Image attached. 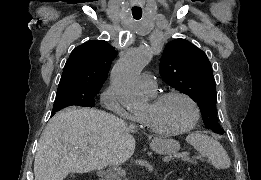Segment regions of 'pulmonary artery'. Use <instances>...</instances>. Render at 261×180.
I'll use <instances>...</instances> for the list:
<instances>
[{
  "instance_id": "1",
  "label": "pulmonary artery",
  "mask_w": 261,
  "mask_h": 180,
  "mask_svg": "<svg viewBox=\"0 0 261 180\" xmlns=\"http://www.w3.org/2000/svg\"><path fill=\"white\" fill-rule=\"evenodd\" d=\"M139 84L142 89L153 91L157 87L156 77L149 72H144L139 77Z\"/></svg>"
}]
</instances>
